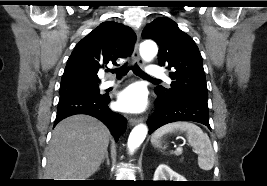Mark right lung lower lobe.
Masks as SVG:
<instances>
[{"mask_svg":"<svg viewBox=\"0 0 267 186\" xmlns=\"http://www.w3.org/2000/svg\"><path fill=\"white\" fill-rule=\"evenodd\" d=\"M109 102L108 95L86 91H71L61 94L54 125L66 117L87 114L102 121L118 141L126 130L127 120L122 115L113 112L108 106Z\"/></svg>","mask_w":267,"mask_h":186,"instance_id":"98d812e1","label":"right lung lower lobe"}]
</instances>
